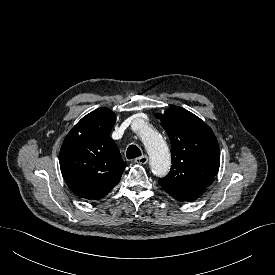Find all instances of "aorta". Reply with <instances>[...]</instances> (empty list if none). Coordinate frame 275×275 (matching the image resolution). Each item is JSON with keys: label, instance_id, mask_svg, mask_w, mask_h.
Masks as SVG:
<instances>
[{"label": "aorta", "instance_id": "aorta-1", "mask_svg": "<svg viewBox=\"0 0 275 275\" xmlns=\"http://www.w3.org/2000/svg\"><path fill=\"white\" fill-rule=\"evenodd\" d=\"M138 134L147 150L150 167L157 176H164L170 169L171 157L162 136L145 121L138 120Z\"/></svg>", "mask_w": 275, "mask_h": 275}]
</instances>
